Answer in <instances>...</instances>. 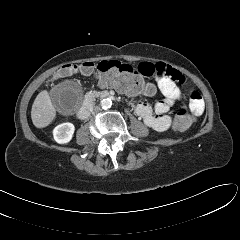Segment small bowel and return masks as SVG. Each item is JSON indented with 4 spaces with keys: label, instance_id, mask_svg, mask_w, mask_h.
Wrapping results in <instances>:
<instances>
[{
    "label": "small bowel",
    "instance_id": "small-bowel-1",
    "mask_svg": "<svg viewBox=\"0 0 240 240\" xmlns=\"http://www.w3.org/2000/svg\"><path fill=\"white\" fill-rule=\"evenodd\" d=\"M138 69L143 77H153L156 80L162 99L155 104L154 109L147 103H138L135 106V113L148 127L156 131H165L171 125L168 111L183 99L184 95L179 84H184L185 78L178 70L161 62H142ZM204 107L202 96L198 92H192L189 98V109L192 114L202 115Z\"/></svg>",
    "mask_w": 240,
    "mask_h": 240
}]
</instances>
